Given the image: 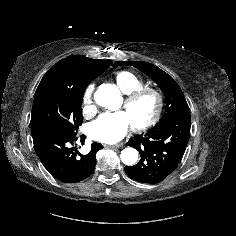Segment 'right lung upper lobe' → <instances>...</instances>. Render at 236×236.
<instances>
[{"label": "right lung upper lobe", "mask_w": 236, "mask_h": 236, "mask_svg": "<svg viewBox=\"0 0 236 236\" xmlns=\"http://www.w3.org/2000/svg\"><path fill=\"white\" fill-rule=\"evenodd\" d=\"M111 60H94L82 55H71L57 62L42 78L35 97L51 86L74 88L102 74Z\"/></svg>", "instance_id": "1"}]
</instances>
